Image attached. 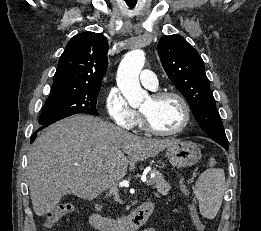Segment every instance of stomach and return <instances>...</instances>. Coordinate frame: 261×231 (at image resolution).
<instances>
[{
	"instance_id": "stomach-1",
	"label": "stomach",
	"mask_w": 261,
	"mask_h": 231,
	"mask_svg": "<svg viewBox=\"0 0 261 231\" xmlns=\"http://www.w3.org/2000/svg\"><path fill=\"white\" fill-rule=\"evenodd\" d=\"M166 156L173 166L185 168L195 165L202 155L197 144L190 141H178L167 146Z\"/></svg>"
}]
</instances>
